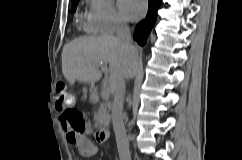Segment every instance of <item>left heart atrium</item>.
Segmentation results:
<instances>
[{"label": "left heart atrium", "mask_w": 242, "mask_h": 160, "mask_svg": "<svg viewBox=\"0 0 242 160\" xmlns=\"http://www.w3.org/2000/svg\"><path fill=\"white\" fill-rule=\"evenodd\" d=\"M118 6L123 16L130 21L138 20L147 10L146 0H118Z\"/></svg>", "instance_id": "obj_1"}]
</instances>
